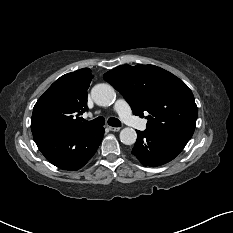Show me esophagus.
Masks as SVG:
<instances>
[{
    "label": "esophagus",
    "instance_id": "1",
    "mask_svg": "<svg viewBox=\"0 0 233 233\" xmlns=\"http://www.w3.org/2000/svg\"><path fill=\"white\" fill-rule=\"evenodd\" d=\"M107 128L112 132H118L120 130L119 127L107 126Z\"/></svg>",
    "mask_w": 233,
    "mask_h": 233
}]
</instances>
